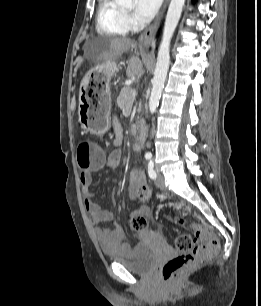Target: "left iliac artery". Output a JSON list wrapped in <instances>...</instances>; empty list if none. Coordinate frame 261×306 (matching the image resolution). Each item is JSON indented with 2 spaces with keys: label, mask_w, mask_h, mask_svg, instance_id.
Wrapping results in <instances>:
<instances>
[{
  "label": "left iliac artery",
  "mask_w": 261,
  "mask_h": 306,
  "mask_svg": "<svg viewBox=\"0 0 261 306\" xmlns=\"http://www.w3.org/2000/svg\"><path fill=\"white\" fill-rule=\"evenodd\" d=\"M148 174L151 179H156L157 177L156 172L154 170V162L152 160H150L148 163Z\"/></svg>",
  "instance_id": "left-iliac-artery-1"
}]
</instances>
